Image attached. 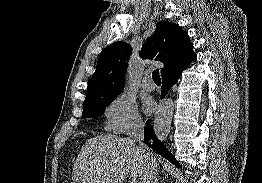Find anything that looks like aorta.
Wrapping results in <instances>:
<instances>
[{
    "mask_svg": "<svg viewBox=\"0 0 262 183\" xmlns=\"http://www.w3.org/2000/svg\"><path fill=\"white\" fill-rule=\"evenodd\" d=\"M173 111L172 99H164L158 106L154 120V131L160 140H165L170 132Z\"/></svg>",
    "mask_w": 262,
    "mask_h": 183,
    "instance_id": "762f6f07",
    "label": "aorta"
}]
</instances>
